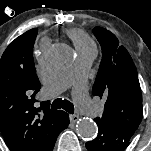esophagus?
<instances>
[{
	"mask_svg": "<svg viewBox=\"0 0 151 151\" xmlns=\"http://www.w3.org/2000/svg\"><path fill=\"white\" fill-rule=\"evenodd\" d=\"M79 119V116L78 115H70V121L72 123H75L77 120Z\"/></svg>",
	"mask_w": 151,
	"mask_h": 151,
	"instance_id": "esophagus-1",
	"label": "esophagus"
}]
</instances>
